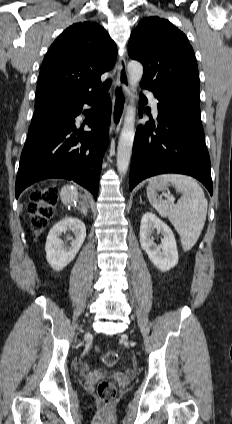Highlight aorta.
<instances>
[{
	"mask_svg": "<svg viewBox=\"0 0 232 424\" xmlns=\"http://www.w3.org/2000/svg\"><path fill=\"white\" fill-rule=\"evenodd\" d=\"M129 74V85L131 90L137 87L143 75V66L137 61H130L127 65ZM131 100L127 107L125 114L124 124L120 133L118 147H117V169L121 176L125 175L131 159L132 147L134 141V124L136 110L134 107L135 96L130 94Z\"/></svg>",
	"mask_w": 232,
	"mask_h": 424,
	"instance_id": "762f6f07",
	"label": "aorta"
}]
</instances>
